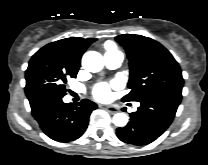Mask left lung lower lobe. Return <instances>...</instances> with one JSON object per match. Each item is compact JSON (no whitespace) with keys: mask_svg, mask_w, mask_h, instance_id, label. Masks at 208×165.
Returning a JSON list of instances; mask_svg holds the SVG:
<instances>
[{"mask_svg":"<svg viewBox=\"0 0 208 165\" xmlns=\"http://www.w3.org/2000/svg\"><path fill=\"white\" fill-rule=\"evenodd\" d=\"M181 98V95L167 93L141 101L138 110L130 113L129 123L117 129L118 138L134 145H146L155 141L173 121Z\"/></svg>","mask_w":208,"mask_h":165,"instance_id":"left-lung-lower-lobe-1","label":"left lung lower lobe"}]
</instances>
